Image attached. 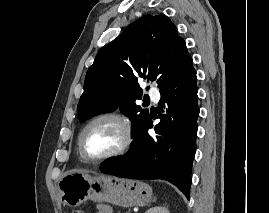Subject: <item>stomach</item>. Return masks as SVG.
I'll list each match as a JSON object with an SVG mask.
<instances>
[{"instance_id":"stomach-1","label":"stomach","mask_w":270,"mask_h":213,"mask_svg":"<svg viewBox=\"0 0 270 213\" xmlns=\"http://www.w3.org/2000/svg\"><path fill=\"white\" fill-rule=\"evenodd\" d=\"M58 191L60 201L69 207H77L86 200L122 207L142 205L152 200V188L144 182L81 170L66 172L58 182Z\"/></svg>"}]
</instances>
